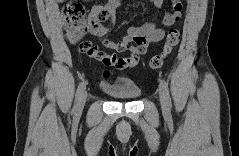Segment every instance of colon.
<instances>
[{
    "mask_svg": "<svg viewBox=\"0 0 239 156\" xmlns=\"http://www.w3.org/2000/svg\"><path fill=\"white\" fill-rule=\"evenodd\" d=\"M62 14L65 21L66 35L72 43H78L88 33L92 32V22L87 17L86 9L83 4L75 1H69L63 6ZM98 20H104V14L98 15ZM181 33L178 28L169 31L162 51L149 60L151 69L160 68L167 56L172 52L180 41ZM80 49L85 53L94 52L93 44L90 40L80 43ZM104 78L108 81L112 79L109 71L104 72Z\"/></svg>",
    "mask_w": 239,
    "mask_h": 156,
    "instance_id": "obj_1",
    "label": "colon"
}]
</instances>
